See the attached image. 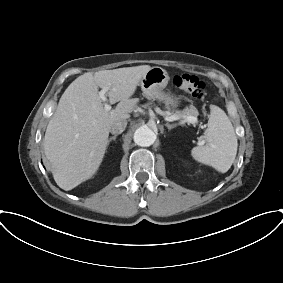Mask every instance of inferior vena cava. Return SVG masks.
Returning <instances> with one entry per match:
<instances>
[{
	"mask_svg": "<svg viewBox=\"0 0 283 283\" xmlns=\"http://www.w3.org/2000/svg\"><path fill=\"white\" fill-rule=\"evenodd\" d=\"M126 126H127V120L125 119L119 120L113 123V125L110 128V132L115 135L121 134L125 130Z\"/></svg>",
	"mask_w": 283,
	"mask_h": 283,
	"instance_id": "inferior-vena-cava-1",
	"label": "inferior vena cava"
}]
</instances>
